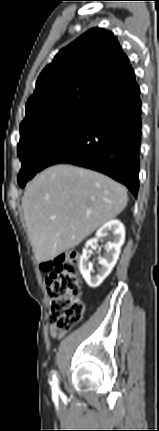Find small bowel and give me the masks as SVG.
<instances>
[{
  "instance_id": "obj_1",
  "label": "small bowel",
  "mask_w": 159,
  "mask_h": 431,
  "mask_svg": "<svg viewBox=\"0 0 159 431\" xmlns=\"http://www.w3.org/2000/svg\"><path fill=\"white\" fill-rule=\"evenodd\" d=\"M66 334L65 330L59 329L56 325L50 327V335L53 338L61 339Z\"/></svg>"
}]
</instances>
